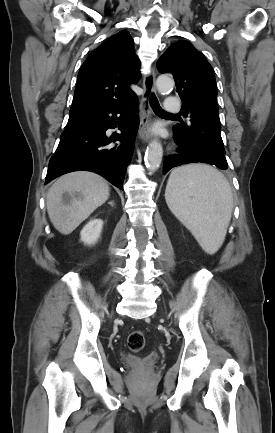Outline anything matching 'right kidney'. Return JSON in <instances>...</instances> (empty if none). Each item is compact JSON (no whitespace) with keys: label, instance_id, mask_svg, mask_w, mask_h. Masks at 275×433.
Returning a JSON list of instances; mask_svg holds the SVG:
<instances>
[{"label":"right kidney","instance_id":"1","mask_svg":"<svg viewBox=\"0 0 275 433\" xmlns=\"http://www.w3.org/2000/svg\"><path fill=\"white\" fill-rule=\"evenodd\" d=\"M103 228V221L101 219L90 220L80 232L81 241L87 245L95 244Z\"/></svg>","mask_w":275,"mask_h":433}]
</instances>
